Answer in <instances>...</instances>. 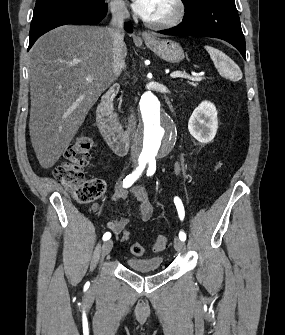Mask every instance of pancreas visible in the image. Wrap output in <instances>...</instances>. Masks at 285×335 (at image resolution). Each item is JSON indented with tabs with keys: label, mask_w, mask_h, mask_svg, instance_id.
<instances>
[{
	"label": "pancreas",
	"mask_w": 285,
	"mask_h": 335,
	"mask_svg": "<svg viewBox=\"0 0 285 335\" xmlns=\"http://www.w3.org/2000/svg\"><path fill=\"white\" fill-rule=\"evenodd\" d=\"M188 84H191V86H198V84H196V82H188Z\"/></svg>",
	"instance_id": "cf45deb5"
}]
</instances>
